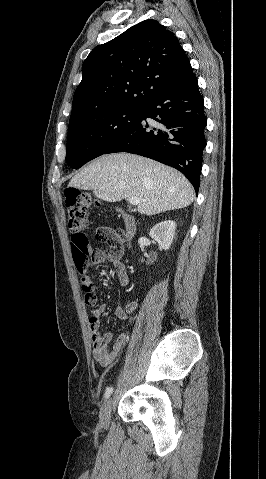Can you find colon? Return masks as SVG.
I'll return each instance as SVG.
<instances>
[{
    "mask_svg": "<svg viewBox=\"0 0 266 479\" xmlns=\"http://www.w3.org/2000/svg\"><path fill=\"white\" fill-rule=\"evenodd\" d=\"M65 210L68 228L71 234V249L75 268L80 275V284L85 303L93 306L97 301L92 279L86 274L89 268V238L85 232L88 225V212L93 204L92 199L77 189H66L64 192ZM122 232L109 226H99L95 230L97 241L109 245L120 243Z\"/></svg>",
    "mask_w": 266,
    "mask_h": 479,
    "instance_id": "colon-1",
    "label": "colon"
}]
</instances>
